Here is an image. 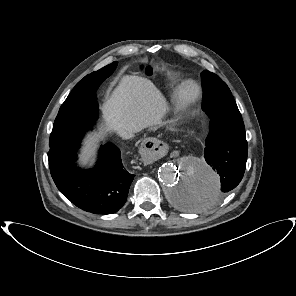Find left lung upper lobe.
<instances>
[{
    "label": "left lung upper lobe",
    "instance_id": "1",
    "mask_svg": "<svg viewBox=\"0 0 296 296\" xmlns=\"http://www.w3.org/2000/svg\"><path fill=\"white\" fill-rule=\"evenodd\" d=\"M202 86L204 90L203 101L209 98H232V93L225 82H223L216 74L207 70L202 72Z\"/></svg>",
    "mask_w": 296,
    "mask_h": 296
}]
</instances>
